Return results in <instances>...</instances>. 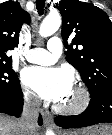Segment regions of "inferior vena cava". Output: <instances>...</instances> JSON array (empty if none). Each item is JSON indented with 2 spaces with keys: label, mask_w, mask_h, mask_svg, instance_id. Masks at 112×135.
I'll use <instances>...</instances> for the list:
<instances>
[{
  "label": "inferior vena cava",
  "mask_w": 112,
  "mask_h": 135,
  "mask_svg": "<svg viewBox=\"0 0 112 135\" xmlns=\"http://www.w3.org/2000/svg\"><path fill=\"white\" fill-rule=\"evenodd\" d=\"M39 111L40 101L38 98L29 97L25 100L23 112L19 120L22 135H36Z\"/></svg>",
  "instance_id": "602c4592"
}]
</instances>
